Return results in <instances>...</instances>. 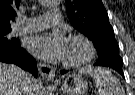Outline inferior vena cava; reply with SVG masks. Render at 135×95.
Listing matches in <instances>:
<instances>
[{
    "label": "inferior vena cava",
    "instance_id": "1",
    "mask_svg": "<svg viewBox=\"0 0 135 95\" xmlns=\"http://www.w3.org/2000/svg\"><path fill=\"white\" fill-rule=\"evenodd\" d=\"M25 95H32L30 83H27L25 86Z\"/></svg>",
    "mask_w": 135,
    "mask_h": 95
}]
</instances>
